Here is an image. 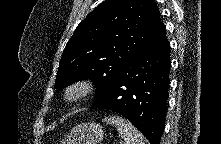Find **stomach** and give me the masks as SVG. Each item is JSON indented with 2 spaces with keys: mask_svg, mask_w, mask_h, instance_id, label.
<instances>
[{
  "mask_svg": "<svg viewBox=\"0 0 221 144\" xmlns=\"http://www.w3.org/2000/svg\"><path fill=\"white\" fill-rule=\"evenodd\" d=\"M103 138V128L95 122L81 123L65 135L63 144H98Z\"/></svg>",
  "mask_w": 221,
  "mask_h": 144,
  "instance_id": "obj_1",
  "label": "stomach"
}]
</instances>
